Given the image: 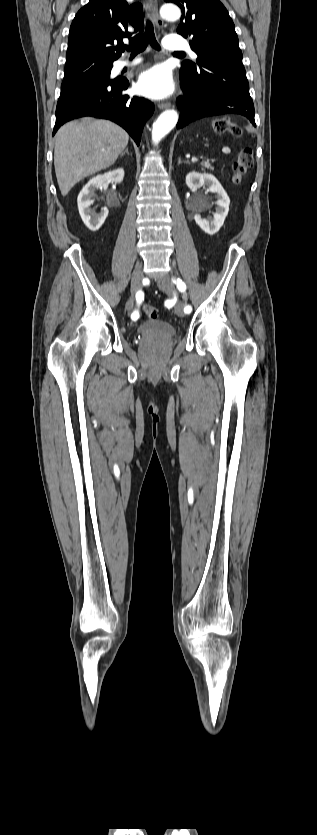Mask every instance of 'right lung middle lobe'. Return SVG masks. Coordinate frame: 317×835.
I'll list each match as a JSON object with an SVG mask.
<instances>
[{"instance_id":"dd1d6c3e","label":"right lung middle lobe","mask_w":317,"mask_h":835,"mask_svg":"<svg viewBox=\"0 0 317 835\" xmlns=\"http://www.w3.org/2000/svg\"><path fill=\"white\" fill-rule=\"evenodd\" d=\"M112 62L100 57H92L81 62L77 67L65 66L62 89L91 81L109 78Z\"/></svg>"}]
</instances>
